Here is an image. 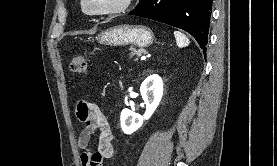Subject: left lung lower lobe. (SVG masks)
<instances>
[{
    "label": "left lung lower lobe",
    "mask_w": 277,
    "mask_h": 166,
    "mask_svg": "<svg viewBox=\"0 0 277 166\" xmlns=\"http://www.w3.org/2000/svg\"><path fill=\"white\" fill-rule=\"evenodd\" d=\"M211 13L212 0H146L129 14L183 29L205 52Z\"/></svg>",
    "instance_id": "obj_1"
}]
</instances>
